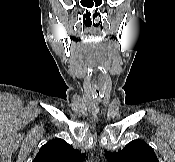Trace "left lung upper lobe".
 I'll return each mask as SVG.
<instances>
[{"instance_id":"obj_1","label":"left lung upper lobe","mask_w":175,"mask_h":162,"mask_svg":"<svg viewBox=\"0 0 175 162\" xmlns=\"http://www.w3.org/2000/svg\"><path fill=\"white\" fill-rule=\"evenodd\" d=\"M109 162H159L153 148L143 140H133L119 152L105 151Z\"/></svg>"}]
</instances>
